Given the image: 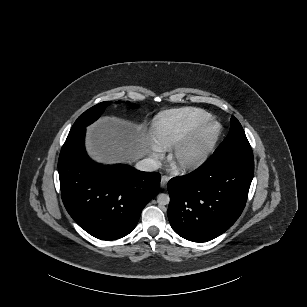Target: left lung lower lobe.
I'll return each instance as SVG.
<instances>
[{"mask_svg": "<svg viewBox=\"0 0 307 307\" xmlns=\"http://www.w3.org/2000/svg\"><path fill=\"white\" fill-rule=\"evenodd\" d=\"M254 174L253 157L212 156L198 169L168 183L173 230L193 242L209 241L241 215Z\"/></svg>", "mask_w": 307, "mask_h": 307, "instance_id": "left-lung-lower-lobe-1", "label": "left lung lower lobe"}]
</instances>
